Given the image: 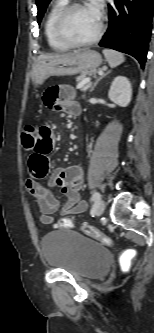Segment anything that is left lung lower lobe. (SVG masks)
Returning a JSON list of instances; mask_svg holds the SVG:
<instances>
[{
	"label": "left lung lower lobe",
	"instance_id": "0a47b994",
	"mask_svg": "<svg viewBox=\"0 0 154 333\" xmlns=\"http://www.w3.org/2000/svg\"><path fill=\"white\" fill-rule=\"evenodd\" d=\"M108 8L109 27L99 45L132 55L144 68L154 0H113Z\"/></svg>",
	"mask_w": 154,
	"mask_h": 333
}]
</instances>
